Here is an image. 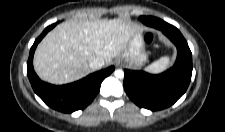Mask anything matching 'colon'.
<instances>
[{"label":"colon","instance_id":"colon-1","mask_svg":"<svg viewBox=\"0 0 225 132\" xmlns=\"http://www.w3.org/2000/svg\"><path fill=\"white\" fill-rule=\"evenodd\" d=\"M145 41L149 44L153 43L155 41V35L153 33H146L145 34Z\"/></svg>","mask_w":225,"mask_h":132}]
</instances>
